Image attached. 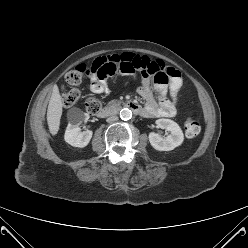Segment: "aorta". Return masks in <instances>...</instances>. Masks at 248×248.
<instances>
[{"instance_id":"obj_1","label":"aorta","mask_w":248,"mask_h":248,"mask_svg":"<svg viewBox=\"0 0 248 248\" xmlns=\"http://www.w3.org/2000/svg\"><path fill=\"white\" fill-rule=\"evenodd\" d=\"M120 118L122 120H129L132 118V111L128 108H124L120 111Z\"/></svg>"}]
</instances>
